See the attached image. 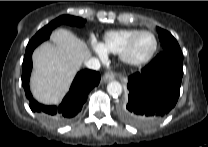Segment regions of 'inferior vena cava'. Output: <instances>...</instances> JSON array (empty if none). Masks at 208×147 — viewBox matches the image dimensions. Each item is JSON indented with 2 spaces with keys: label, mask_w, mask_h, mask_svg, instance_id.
Wrapping results in <instances>:
<instances>
[{
  "label": "inferior vena cava",
  "mask_w": 208,
  "mask_h": 147,
  "mask_svg": "<svg viewBox=\"0 0 208 147\" xmlns=\"http://www.w3.org/2000/svg\"><path fill=\"white\" fill-rule=\"evenodd\" d=\"M85 66L89 69L99 70L101 65L98 58L92 57L85 62Z\"/></svg>",
  "instance_id": "1"
}]
</instances>
